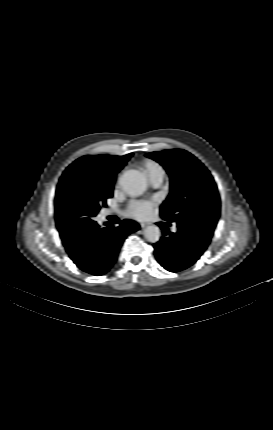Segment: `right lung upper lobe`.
<instances>
[{
    "label": "right lung upper lobe",
    "mask_w": 273,
    "mask_h": 430,
    "mask_svg": "<svg viewBox=\"0 0 273 430\" xmlns=\"http://www.w3.org/2000/svg\"><path fill=\"white\" fill-rule=\"evenodd\" d=\"M133 153L125 156L95 155L83 156L73 162L65 172H74L83 176L90 183L114 182L120 171ZM79 235L61 236L63 245L69 247L79 240Z\"/></svg>",
    "instance_id": "right-lung-upper-lobe-1"
}]
</instances>
